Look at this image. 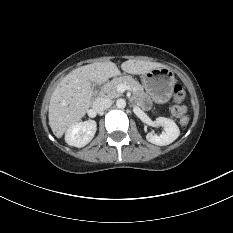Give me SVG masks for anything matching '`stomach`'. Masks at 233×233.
Returning a JSON list of instances; mask_svg holds the SVG:
<instances>
[{"instance_id":"stomach-1","label":"stomach","mask_w":233,"mask_h":233,"mask_svg":"<svg viewBox=\"0 0 233 233\" xmlns=\"http://www.w3.org/2000/svg\"><path fill=\"white\" fill-rule=\"evenodd\" d=\"M142 83L155 102L165 103L173 95L176 80L173 71L163 67L142 74Z\"/></svg>"}]
</instances>
